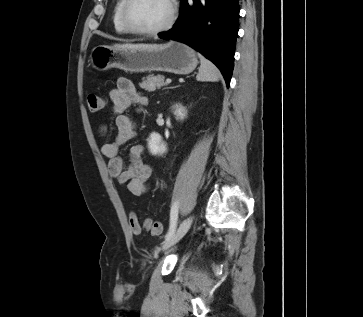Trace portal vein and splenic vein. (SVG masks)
Segmentation results:
<instances>
[{
  "label": "portal vein and splenic vein",
  "instance_id": "18ae733b",
  "mask_svg": "<svg viewBox=\"0 0 363 317\" xmlns=\"http://www.w3.org/2000/svg\"><path fill=\"white\" fill-rule=\"evenodd\" d=\"M171 83V79H166V84H170Z\"/></svg>",
  "mask_w": 363,
  "mask_h": 317
}]
</instances>
